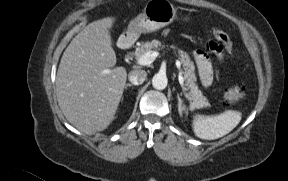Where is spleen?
I'll return each mask as SVG.
<instances>
[{"label": "spleen", "mask_w": 288, "mask_h": 181, "mask_svg": "<svg viewBox=\"0 0 288 181\" xmlns=\"http://www.w3.org/2000/svg\"><path fill=\"white\" fill-rule=\"evenodd\" d=\"M240 121V112L227 110L215 116L196 114L193 117L192 126L197 137L204 140H215L231 132Z\"/></svg>", "instance_id": "1"}]
</instances>
